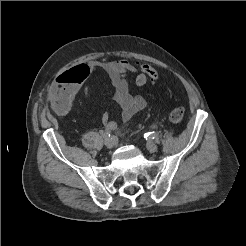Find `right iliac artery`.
Wrapping results in <instances>:
<instances>
[{
	"mask_svg": "<svg viewBox=\"0 0 246 246\" xmlns=\"http://www.w3.org/2000/svg\"><path fill=\"white\" fill-rule=\"evenodd\" d=\"M102 136H103V138H109L110 137V133L108 132V131H106V132H103L102 133Z\"/></svg>",
	"mask_w": 246,
	"mask_h": 246,
	"instance_id": "obj_1",
	"label": "right iliac artery"
}]
</instances>
